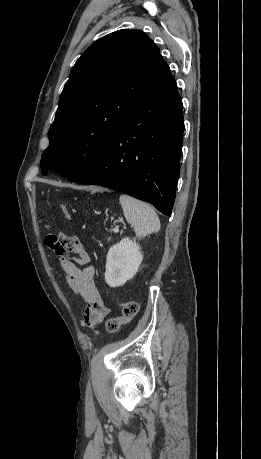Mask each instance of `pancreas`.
I'll return each instance as SVG.
<instances>
[{
  "label": "pancreas",
  "mask_w": 261,
  "mask_h": 459,
  "mask_svg": "<svg viewBox=\"0 0 261 459\" xmlns=\"http://www.w3.org/2000/svg\"><path fill=\"white\" fill-rule=\"evenodd\" d=\"M110 240H111V238H108V241H110Z\"/></svg>",
  "instance_id": "1"
}]
</instances>
